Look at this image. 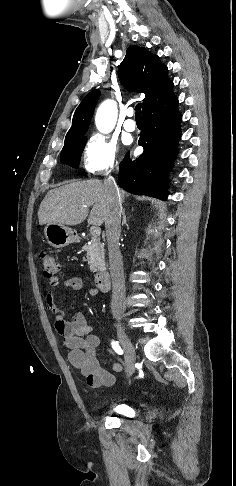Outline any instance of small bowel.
<instances>
[{"instance_id":"obj_1","label":"small bowel","mask_w":236,"mask_h":486,"mask_svg":"<svg viewBox=\"0 0 236 486\" xmlns=\"http://www.w3.org/2000/svg\"><path fill=\"white\" fill-rule=\"evenodd\" d=\"M63 286L78 291L83 289V281L80 277H70L63 282ZM95 293L94 289L88 290L89 296ZM46 303L54 314L55 329L68 349L69 362L82 372L90 387L112 386L115 376L100 365V339L94 334V327L88 323L85 315L78 312L71 320H67L63 310L55 304L53 292L48 293ZM112 369L120 373L123 365L115 363Z\"/></svg>"}]
</instances>
